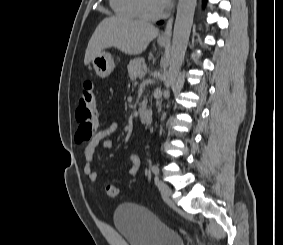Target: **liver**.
<instances>
[{"mask_svg": "<svg viewBox=\"0 0 283 245\" xmlns=\"http://www.w3.org/2000/svg\"><path fill=\"white\" fill-rule=\"evenodd\" d=\"M159 30L150 23L127 17L104 19L93 33L84 58L88 65L104 49L114 47L128 55H139L158 36Z\"/></svg>", "mask_w": 283, "mask_h": 245, "instance_id": "1", "label": "liver"}]
</instances>
